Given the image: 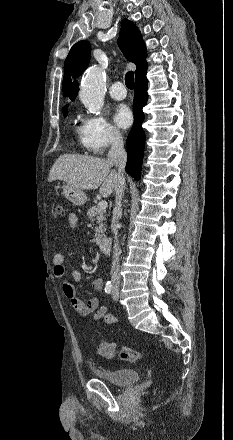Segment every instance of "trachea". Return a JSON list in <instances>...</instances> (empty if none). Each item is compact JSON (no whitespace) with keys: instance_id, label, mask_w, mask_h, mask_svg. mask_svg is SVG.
I'll return each mask as SVG.
<instances>
[{"instance_id":"trachea-1","label":"trachea","mask_w":233,"mask_h":440,"mask_svg":"<svg viewBox=\"0 0 233 440\" xmlns=\"http://www.w3.org/2000/svg\"><path fill=\"white\" fill-rule=\"evenodd\" d=\"M125 84L127 88L133 89L134 86V73L133 72H127L125 75Z\"/></svg>"}]
</instances>
